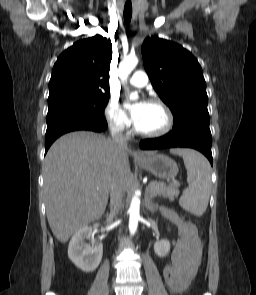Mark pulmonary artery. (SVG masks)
<instances>
[{
    "instance_id": "e3ab8cb5",
    "label": "pulmonary artery",
    "mask_w": 256,
    "mask_h": 295,
    "mask_svg": "<svg viewBox=\"0 0 256 295\" xmlns=\"http://www.w3.org/2000/svg\"><path fill=\"white\" fill-rule=\"evenodd\" d=\"M148 81L147 74L142 70H137L131 76L129 83L134 87L142 88L148 84Z\"/></svg>"
}]
</instances>
